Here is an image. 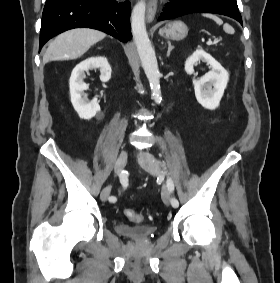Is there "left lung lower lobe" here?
I'll return each mask as SVG.
<instances>
[{"mask_svg": "<svg viewBox=\"0 0 280 283\" xmlns=\"http://www.w3.org/2000/svg\"><path fill=\"white\" fill-rule=\"evenodd\" d=\"M195 12H209L229 16L243 25L238 8L218 0H171L165 5L159 20L173 19Z\"/></svg>", "mask_w": 280, "mask_h": 283, "instance_id": "left-lung-lower-lobe-1", "label": "left lung lower lobe"}]
</instances>
